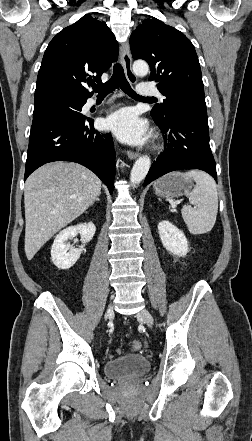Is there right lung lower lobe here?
Wrapping results in <instances>:
<instances>
[{
	"label": "right lung lower lobe",
	"mask_w": 252,
	"mask_h": 441,
	"mask_svg": "<svg viewBox=\"0 0 252 441\" xmlns=\"http://www.w3.org/2000/svg\"><path fill=\"white\" fill-rule=\"evenodd\" d=\"M67 101H83L74 97ZM77 162L93 171L114 190L115 150L110 134L93 127V120L47 113L33 117L24 180L38 167L53 161Z\"/></svg>",
	"instance_id": "right-lung-lower-lobe-1"
}]
</instances>
